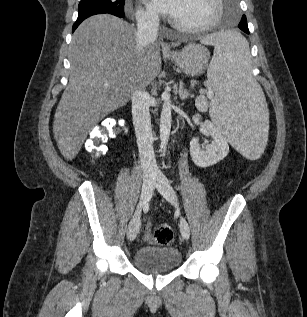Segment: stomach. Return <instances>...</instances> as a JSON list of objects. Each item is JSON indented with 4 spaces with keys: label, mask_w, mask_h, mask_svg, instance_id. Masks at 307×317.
Instances as JSON below:
<instances>
[{
    "label": "stomach",
    "mask_w": 307,
    "mask_h": 317,
    "mask_svg": "<svg viewBox=\"0 0 307 317\" xmlns=\"http://www.w3.org/2000/svg\"><path fill=\"white\" fill-rule=\"evenodd\" d=\"M169 59L186 75L199 76L208 66L209 51L200 44H189L180 52L169 55Z\"/></svg>",
    "instance_id": "obj_1"
}]
</instances>
